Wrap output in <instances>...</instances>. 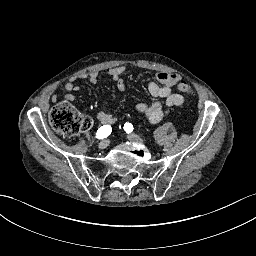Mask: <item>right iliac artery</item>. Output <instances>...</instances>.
Segmentation results:
<instances>
[{
    "label": "right iliac artery",
    "instance_id": "1",
    "mask_svg": "<svg viewBox=\"0 0 256 256\" xmlns=\"http://www.w3.org/2000/svg\"><path fill=\"white\" fill-rule=\"evenodd\" d=\"M112 128L110 125H104L100 127L96 133V138L103 139L110 135Z\"/></svg>",
    "mask_w": 256,
    "mask_h": 256
}]
</instances>
